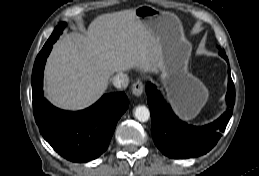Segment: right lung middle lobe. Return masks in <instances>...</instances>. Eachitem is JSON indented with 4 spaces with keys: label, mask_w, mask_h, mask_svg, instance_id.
<instances>
[{
    "label": "right lung middle lobe",
    "mask_w": 259,
    "mask_h": 176,
    "mask_svg": "<svg viewBox=\"0 0 259 176\" xmlns=\"http://www.w3.org/2000/svg\"><path fill=\"white\" fill-rule=\"evenodd\" d=\"M65 23H60L50 37L59 35L64 29Z\"/></svg>",
    "instance_id": "obj_1"
}]
</instances>
